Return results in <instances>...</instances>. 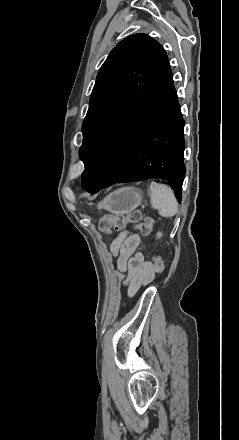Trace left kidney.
Here are the masks:
<instances>
[{
	"instance_id": "left-kidney-1",
	"label": "left kidney",
	"mask_w": 239,
	"mask_h": 440,
	"mask_svg": "<svg viewBox=\"0 0 239 440\" xmlns=\"http://www.w3.org/2000/svg\"><path fill=\"white\" fill-rule=\"evenodd\" d=\"M157 236H158V238H160V236H162V234H160V232H158Z\"/></svg>"
}]
</instances>
